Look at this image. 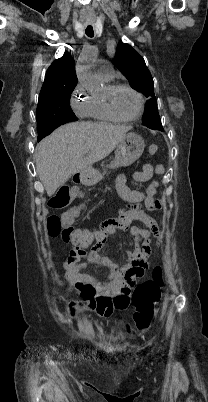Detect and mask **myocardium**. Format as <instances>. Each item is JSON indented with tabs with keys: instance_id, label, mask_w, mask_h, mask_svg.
Here are the masks:
<instances>
[{
	"instance_id": "myocardium-1",
	"label": "myocardium",
	"mask_w": 208,
	"mask_h": 402,
	"mask_svg": "<svg viewBox=\"0 0 208 402\" xmlns=\"http://www.w3.org/2000/svg\"><path fill=\"white\" fill-rule=\"evenodd\" d=\"M120 89H127V90L133 92L138 97V99L140 101V106H139V110L136 115H134L132 117H123L116 111V109L114 107L113 99H114L115 93ZM104 100H105L106 106H107L110 114L114 118H116L117 120L122 121V122H130V121L137 120L143 114L144 107H145V99H144V96L142 95V93H140L138 90L134 89L133 87H131L129 85H125V84H118V85H113L108 88H105Z\"/></svg>"
}]
</instances>
